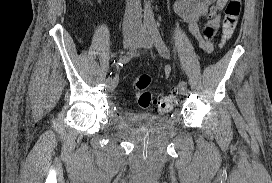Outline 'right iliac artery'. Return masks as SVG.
I'll return each mask as SVG.
<instances>
[{"label": "right iliac artery", "instance_id": "1", "mask_svg": "<svg viewBox=\"0 0 272 183\" xmlns=\"http://www.w3.org/2000/svg\"><path fill=\"white\" fill-rule=\"evenodd\" d=\"M143 31L146 32V27H144ZM138 46H134L133 48H131L124 56H122L118 62L116 63V66H123L124 64L128 63L132 57L135 55L136 50H137ZM107 80L109 81H118V74L117 72L114 70L110 76L107 78Z\"/></svg>", "mask_w": 272, "mask_h": 183}]
</instances>
